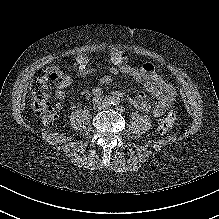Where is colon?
Segmentation results:
<instances>
[{"instance_id":"5ec220e1","label":"colon","mask_w":219,"mask_h":219,"mask_svg":"<svg viewBox=\"0 0 219 219\" xmlns=\"http://www.w3.org/2000/svg\"><path fill=\"white\" fill-rule=\"evenodd\" d=\"M82 61L86 62L87 57L81 56ZM57 72L47 69L40 73L30 85L32 107L37 118L44 124H50L56 115L54 108L50 104L51 85L57 80ZM176 116L168 114L160 123L161 132H167L175 123Z\"/></svg>"}]
</instances>
